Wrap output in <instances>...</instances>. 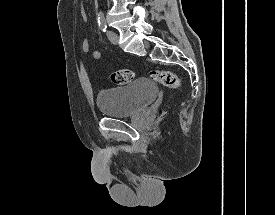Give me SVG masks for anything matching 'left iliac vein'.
<instances>
[{
	"label": "left iliac vein",
	"instance_id": "1",
	"mask_svg": "<svg viewBox=\"0 0 275 215\" xmlns=\"http://www.w3.org/2000/svg\"><path fill=\"white\" fill-rule=\"evenodd\" d=\"M107 36L108 39L113 43V44H117L118 43V34L114 31H107Z\"/></svg>",
	"mask_w": 275,
	"mask_h": 215
}]
</instances>
